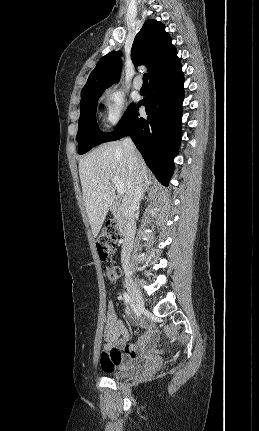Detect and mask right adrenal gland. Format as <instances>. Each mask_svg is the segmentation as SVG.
Segmentation results:
<instances>
[{
	"label": "right adrenal gland",
	"mask_w": 259,
	"mask_h": 431,
	"mask_svg": "<svg viewBox=\"0 0 259 431\" xmlns=\"http://www.w3.org/2000/svg\"><path fill=\"white\" fill-rule=\"evenodd\" d=\"M149 185H150V182H149V181H146V182H145V185H144V189H143L142 199H143L144 193H145V192L147 191V189L149 188Z\"/></svg>",
	"instance_id": "right-adrenal-gland-1"
}]
</instances>
